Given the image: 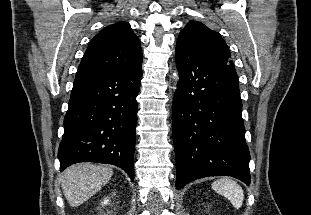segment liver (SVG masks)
<instances>
[{
	"label": "liver",
	"instance_id": "1",
	"mask_svg": "<svg viewBox=\"0 0 311 215\" xmlns=\"http://www.w3.org/2000/svg\"><path fill=\"white\" fill-rule=\"evenodd\" d=\"M108 166L80 163L70 166L61 177V186L68 203L77 207L97 193L112 178Z\"/></svg>",
	"mask_w": 311,
	"mask_h": 215
}]
</instances>
